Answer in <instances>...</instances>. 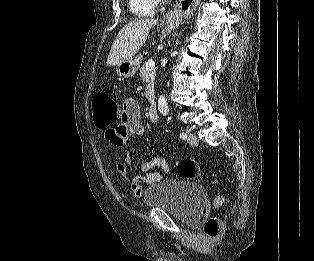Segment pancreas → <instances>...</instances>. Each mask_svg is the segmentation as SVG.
Returning <instances> with one entry per match:
<instances>
[{
  "instance_id": "obj_1",
  "label": "pancreas",
  "mask_w": 314,
  "mask_h": 261,
  "mask_svg": "<svg viewBox=\"0 0 314 261\" xmlns=\"http://www.w3.org/2000/svg\"><path fill=\"white\" fill-rule=\"evenodd\" d=\"M156 76V70H147L144 65L140 68L139 77L146 82L145 97L150 103L154 102V81Z\"/></svg>"
}]
</instances>
